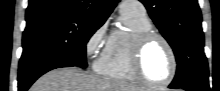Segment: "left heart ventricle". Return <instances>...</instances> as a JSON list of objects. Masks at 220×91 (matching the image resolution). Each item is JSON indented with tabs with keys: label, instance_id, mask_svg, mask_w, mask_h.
<instances>
[{
	"label": "left heart ventricle",
	"instance_id": "obj_1",
	"mask_svg": "<svg viewBox=\"0 0 220 91\" xmlns=\"http://www.w3.org/2000/svg\"><path fill=\"white\" fill-rule=\"evenodd\" d=\"M142 66L149 80L163 82L167 79L171 71V58L162 42L156 40L146 47Z\"/></svg>",
	"mask_w": 220,
	"mask_h": 91
}]
</instances>
